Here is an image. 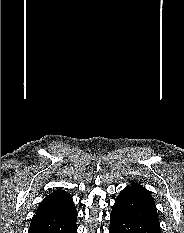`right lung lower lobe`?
<instances>
[{"label": "right lung lower lobe", "instance_id": "obj_1", "mask_svg": "<svg viewBox=\"0 0 184 233\" xmlns=\"http://www.w3.org/2000/svg\"><path fill=\"white\" fill-rule=\"evenodd\" d=\"M76 219L74 205L35 214L28 233H76Z\"/></svg>", "mask_w": 184, "mask_h": 233}]
</instances>
